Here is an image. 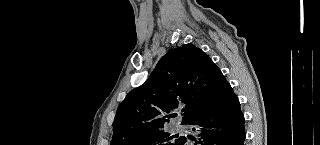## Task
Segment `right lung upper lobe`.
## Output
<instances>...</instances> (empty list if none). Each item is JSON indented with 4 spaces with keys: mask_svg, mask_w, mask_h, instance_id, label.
<instances>
[{
    "mask_svg": "<svg viewBox=\"0 0 320 145\" xmlns=\"http://www.w3.org/2000/svg\"><path fill=\"white\" fill-rule=\"evenodd\" d=\"M221 76L210 57L193 44L171 49L146 82L119 105L111 145H132L162 130L172 116L169 113L180 106H184L182 124H187L209 106Z\"/></svg>",
    "mask_w": 320,
    "mask_h": 145,
    "instance_id": "cb5924a9",
    "label": "right lung upper lobe"
}]
</instances>
